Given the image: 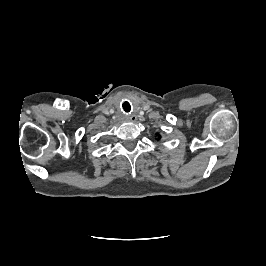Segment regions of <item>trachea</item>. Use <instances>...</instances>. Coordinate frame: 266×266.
<instances>
[{"mask_svg":"<svg viewBox=\"0 0 266 266\" xmlns=\"http://www.w3.org/2000/svg\"><path fill=\"white\" fill-rule=\"evenodd\" d=\"M123 109L126 111V112H129L130 111V104L128 102H124L123 103Z\"/></svg>","mask_w":266,"mask_h":266,"instance_id":"3493384b","label":"trachea"}]
</instances>
